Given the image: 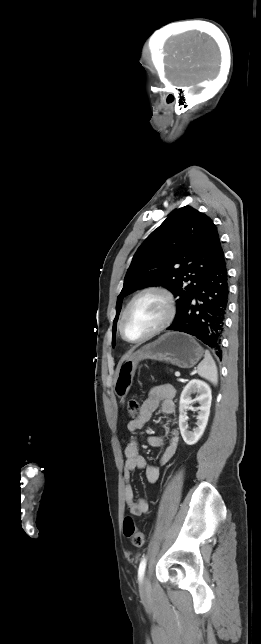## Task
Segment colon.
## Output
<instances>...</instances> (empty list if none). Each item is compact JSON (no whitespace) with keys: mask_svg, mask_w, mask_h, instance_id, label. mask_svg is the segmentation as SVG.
<instances>
[{"mask_svg":"<svg viewBox=\"0 0 261 644\" xmlns=\"http://www.w3.org/2000/svg\"><path fill=\"white\" fill-rule=\"evenodd\" d=\"M141 409L140 400L137 397H133L128 401L127 411L131 418H137ZM123 533L124 536L130 539L131 543L135 547H141L144 544V535L137 528L135 521L132 517L127 516L123 521Z\"/></svg>","mask_w":261,"mask_h":644,"instance_id":"1","label":"colon"}]
</instances>
